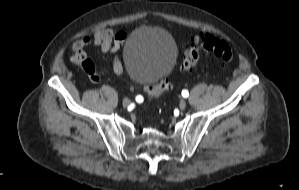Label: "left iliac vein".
Masks as SVG:
<instances>
[{"instance_id":"1","label":"left iliac vein","mask_w":299,"mask_h":190,"mask_svg":"<svg viewBox=\"0 0 299 190\" xmlns=\"http://www.w3.org/2000/svg\"><path fill=\"white\" fill-rule=\"evenodd\" d=\"M186 106H187L186 101L185 100H181L180 103H179V108L181 110H184L186 108Z\"/></svg>"}]
</instances>
